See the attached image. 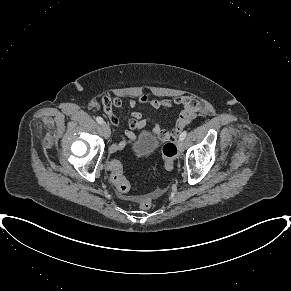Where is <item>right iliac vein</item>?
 I'll use <instances>...</instances> for the list:
<instances>
[{
	"mask_svg": "<svg viewBox=\"0 0 291 291\" xmlns=\"http://www.w3.org/2000/svg\"><path fill=\"white\" fill-rule=\"evenodd\" d=\"M102 130H103L105 138H109L111 135V129L107 123L102 124Z\"/></svg>",
	"mask_w": 291,
	"mask_h": 291,
	"instance_id": "1",
	"label": "right iliac vein"
}]
</instances>
